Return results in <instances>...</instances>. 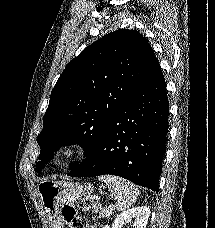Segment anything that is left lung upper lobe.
<instances>
[{
	"instance_id": "obj_1",
	"label": "left lung upper lobe",
	"mask_w": 215,
	"mask_h": 228,
	"mask_svg": "<svg viewBox=\"0 0 215 228\" xmlns=\"http://www.w3.org/2000/svg\"><path fill=\"white\" fill-rule=\"evenodd\" d=\"M154 59L145 37L136 30L120 29L71 60L51 92L43 117L44 128L37 138L41 147L38 172L61 146L79 144L87 155Z\"/></svg>"
}]
</instances>
